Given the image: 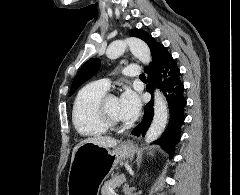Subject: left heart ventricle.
<instances>
[{
	"label": "left heart ventricle",
	"instance_id": "b2bd125f",
	"mask_svg": "<svg viewBox=\"0 0 240 195\" xmlns=\"http://www.w3.org/2000/svg\"><path fill=\"white\" fill-rule=\"evenodd\" d=\"M109 109L115 119L119 121H124L121 116L119 99L117 97H114L110 100Z\"/></svg>",
	"mask_w": 240,
	"mask_h": 195
}]
</instances>
